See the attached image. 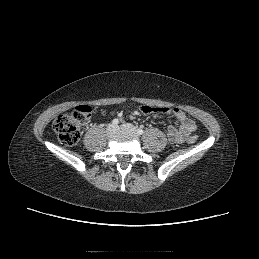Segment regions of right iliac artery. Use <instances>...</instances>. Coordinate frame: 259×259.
I'll return each instance as SVG.
<instances>
[{"label":"right iliac artery","instance_id":"82829eb1","mask_svg":"<svg viewBox=\"0 0 259 259\" xmlns=\"http://www.w3.org/2000/svg\"><path fill=\"white\" fill-rule=\"evenodd\" d=\"M119 123V120L117 118L113 119L112 124L117 125Z\"/></svg>","mask_w":259,"mask_h":259}]
</instances>
